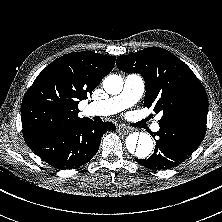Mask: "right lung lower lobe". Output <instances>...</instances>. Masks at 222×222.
<instances>
[{
  "mask_svg": "<svg viewBox=\"0 0 222 222\" xmlns=\"http://www.w3.org/2000/svg\"><path fill=\"white\" fill-rule=\"evenodd\" d=\"M111 122L87 119L65 129L42 130L24 136L27 145L41 159L58 169H73L89 162L97 153L106 130H115Z\"/></svg>",
  "mask_w": 222,
  "mask_h": 222,
  "instance_id": "1",
  "label": "right lung lower lobe"
}]
</instances>
